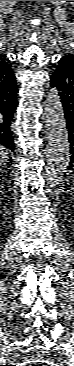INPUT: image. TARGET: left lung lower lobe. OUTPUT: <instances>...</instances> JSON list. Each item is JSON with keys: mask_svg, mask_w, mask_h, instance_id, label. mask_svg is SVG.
Returning a JSON list of instances; mask_svg holds the SVG:
<instances>
[{"mask_svg": "<svg viewBox=\"0 0 74 366\" xmlns=\"http://www.w3.org/2000/svg\"><path fill=\"white\" fill-rule=\"evenodd\" d=\"M50 81L51 86L57 89L64 108L72 154L70 165H74V57H62Z\"/></svg>", "mask_w": 74, "mask_h": 366, "instance_id": "0a47b994", "label": "left lung lower lobe"}]
</instances>
